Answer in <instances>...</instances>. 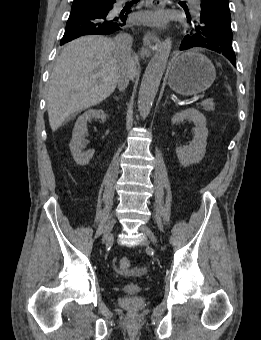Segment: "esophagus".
<instances>
[{
  "label": "esophagus",
  "instance_id": "34e87169",
  "mask_svg": "<svg viewBox=\"0 0 261 340\" xmlns=\"http://www.w3.org/2000/svg\"><path fill=\"white\" fill-rule=\"evenodd\" d=\"M166 0H151V5L149 7L153 9H162L165 7ZM144 47L142 49L143 53L147 51H156L160 46V38L155 31H147L143 36Z\"/></svg>",
  "mask_w": 261,
  "mask_h": 340
}]
</instances>
